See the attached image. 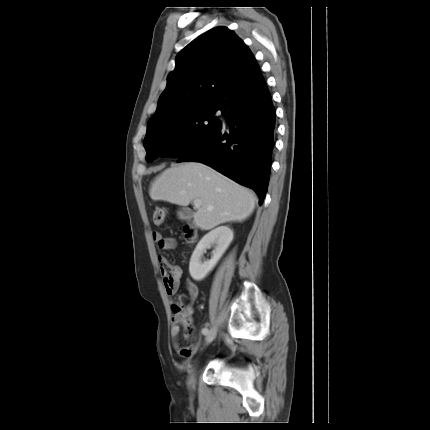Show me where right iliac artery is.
<instances>
[{
	"label": "right iliac artery",
	"mask_w": 430,
	"mask_h": 430,
	"mask_svg": "<svg viewBox=\"0 0 430 430\" xmlns=\"http://www.w3.org/2000/svg\"><path fill=\"white\" fill-rule=\"evenodd\" d=\"M209 332V330L208 329H206V330H202V335H207V333Z\"/></svg>",
	"instance_id": "obj_1"
}]
</instances>
